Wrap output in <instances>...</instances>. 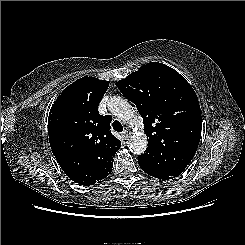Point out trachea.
<instances>
[{
	"label": "trachea",
	"instance_id": "3493384b",
	"mask_svg": "<svg viewBox=\"0 0 245 245\" xmlns=\"http://www.w3.org/2000/svg\"><path fill=\"white\" fill-rule=\"evenodd\" d=\"M112 126H113V129L115 131H117V132H122L123 131L122 124L119 121H117V120L113 122Z\"/></svg>",
	"mask_w": 245,
	"mask_h": 245
}]
</instances>
